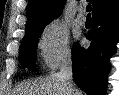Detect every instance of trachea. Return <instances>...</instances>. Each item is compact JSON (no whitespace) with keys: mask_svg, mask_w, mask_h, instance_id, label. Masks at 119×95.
Here are the masks:
<instances>
[{"mask_svg":"<svg viewBox=\"0 0 119 95\" xmlns=\"http://www.w3.org/2000/svg\"><path fill=\"white\" fill-rule=\"evenodd\" d=\"M91 5L88 4L87 7H86V11L88 12V16H90V12H91Z\"/></svg>","mask_w":119,"mask_h":95,"instance_id":"trachea-1","label":"trachea"}]
</instances>
